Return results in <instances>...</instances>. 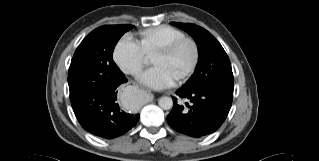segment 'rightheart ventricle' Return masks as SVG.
<instances>
[{"mask_svg": "<svg viewBox=\"0 0 319 161\" xmlns=\"http://www.w3.org/2000/svg\"><path fill=\"white\" fill-rule=\"evenodd\" d=\"M139 36L137 44L146 56L151 57L164 45L185 37V33L170 25H159L142 30Z\"/></svg>", "mask_w": 319, "mask_h": 161, "instance_id": "right-heart-ventricle-1", "label": "right heart ventricle"}]
</instances>
